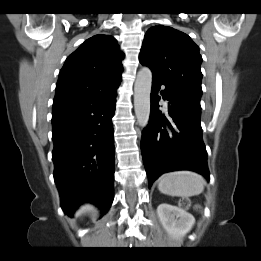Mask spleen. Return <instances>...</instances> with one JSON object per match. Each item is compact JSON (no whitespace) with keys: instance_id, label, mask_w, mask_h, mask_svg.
Returning a JSON list of instances; mask_svg holds the SVG:
<instances>
[{"instance_id":"3e777b00","label":"spleen","mask_w":261,"mask_h":261,"mask_svg":"<svg viewBox=\"0 0 261 261\" xmlns=\"http://www.w3.org/2000/svg\"><path fill=\"white\" fill-rule=\"evenodd\" d=\"M205 180L191 171H175L163 174L158 180L161 193L170 196L190 197L203 192Z\"/></svg>"}]
</instances>
